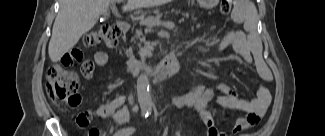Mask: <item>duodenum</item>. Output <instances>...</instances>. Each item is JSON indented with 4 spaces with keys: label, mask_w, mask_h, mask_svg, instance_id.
<instances>
[{
    "label": "duodenum",
    "mask_w": 325,
    "mask_h": 136,
    "mask_svg": "<svg viewBox=\"0 0 325 136\" xmlns=\"http://www.w3.org/2000/svg\"><path fill=\"white\" fill-rule=\"evenodd\" d=\"M117 26L122 32L127 31L129 28V24L126 20L118 21ZM126 66L132 74H150L155 77H163L169 73L179 71L182 63L179 56V50L175 49L170 51L165 59L157 65H150L136 60H128Z\"/></svg>",
    "instance_id": "duodenum-1"
}]
</instances>
